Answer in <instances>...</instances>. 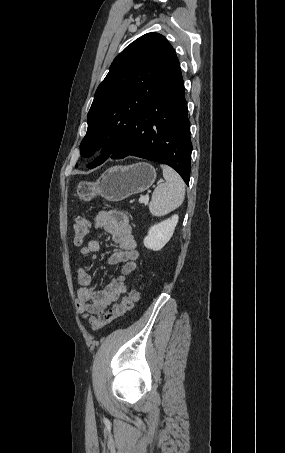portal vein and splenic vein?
Here are the masks:
<instances>
[{"label": "portal vein and splenic vein", "mask_w": 285, "mask_h": 453, "mask_svg": "<svg viewBox=\"0 0 285 453\" xmlns=\"http://www.w3.org/2000/svg\"><path fill=\"white\" fill-rule=\"evenodd\" d=\"M146 200H147V198H146L145 196H141V197L139 198V203H140V204H143V203L146 202Z\"/></svg>", "instance_id": "1"}]
</instances>
